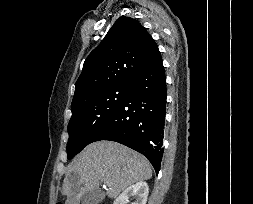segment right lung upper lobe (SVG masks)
Segmentation results:
<instances>
[{
	"mask_svg": "<svg viewBox=\"0 0 253 204\" xmlns=\"http://www.w3.org/2000/svg\"><path fill=\"white\" fill-rule=\"evenodd\" d=\"M158 52L157 44L137 20L118 18L86 58L72 105L104 89L129 85Z\"/></svg>",
	"mask_w": 253,
	"mask_h": 204,
	"instance_id": "1",
	"label": "right lung upper lobe"
}]
</instances>
